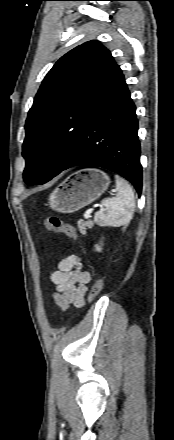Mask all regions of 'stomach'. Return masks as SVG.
<instances>
[{
  "instance_id": "obj_1",
  "label": "stomach",
  "mask_w": 174,
  "mask_h": 440,
  "mask_svg": "<svg viewBox=\"0 0 174 440\" xmlns=\"http://www.w3.org/2000/svg\"><path fill=\"white\" fill-rule=\"evenodd\" d=\"M110 179L99 169H81L50 194L48 203L59 213H73L91 204L108 188Z\"/></svg>"
}]
</instances>
